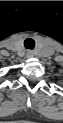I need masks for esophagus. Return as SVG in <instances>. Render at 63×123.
I'll return each instance as SVG.
<instances>
[{"label":"esophagus","instance_id":"esophagus-1","mask_svg":"<svg viewBox=\"0 0 63 123\" xmlns=\"http://www.w3.org/2000/svg\"><path fill=\"white\" fill-rule=\"evenodd\" d=\"M35 53L32 50L27 51V57H34Z\"/></svg>","mask_w":63,"mask_h":123}]
</instances>
